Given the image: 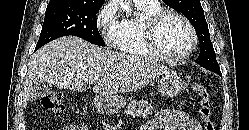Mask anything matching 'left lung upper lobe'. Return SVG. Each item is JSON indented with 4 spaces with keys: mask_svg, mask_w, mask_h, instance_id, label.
Wrapping results in <instances>:
<instances>
[{
    "mask_svg": "<svg viewBox=\"0 0 249 130\" xmlns=\"http://www.w3.org/2000/svg\"><path fill=\"white\" fill-rule=\"evenodd\" d=\"M169 7L181 12L193 25L200 42V54L196 63L221 74L215 51L210 40L208 25L199 0H163Z\"/></svg>",
    "mask_w": 249,
    "mask_h": 130,
    "instance_id": "1",
    "label": "left lung upper lobe"
}]
</instances>
